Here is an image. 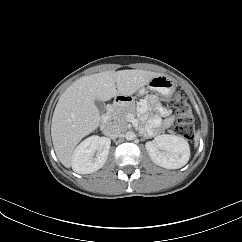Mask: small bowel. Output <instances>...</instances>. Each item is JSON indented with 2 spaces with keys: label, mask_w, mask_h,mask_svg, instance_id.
Returning <instances> with one entry per match:
<instances>
[{
  "label": "small bowel",
  "mask_w": 242,
  "mask_h": 242,
  "mask_svg": "<svg viewBox=\"0 0 242 242\" xmlns=\"http://www.w3.org/2000/svg\"><path fill=\"white\" fill-rule=\"evenodd\" d=\"M147 111H148V104L146 101L139 104L138 112L142 116H146ZM146 118H147V129L150 134H155L160 129L169 127L174 120V117L171 114V111L162 106H158L156 108V113Z\"/></svg>",
  "instance_id": "c3829d8e"
}]
</instances>
